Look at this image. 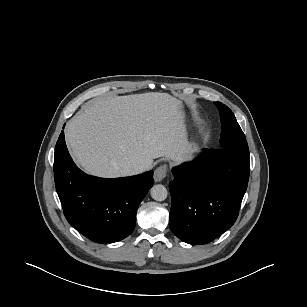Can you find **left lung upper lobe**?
<instances>
[{"label": "left lung upper lobe", "mask_w": 307, "mask_h": 307, "mask_svg": "<svg viewBox=\"0 0 307 307\" xmlns=\"http://www.w3.org/2000/svg\"><path fill=\"white\" fill-rule=\"evenodd\" d=\"M220 111L222 133H221V148L233 150L243 156H249L248 144L246 137L241 130L232 111L220 102L215 103Z\"/></svg>", "instance_id": "5c2ea615"}]
</instances>
